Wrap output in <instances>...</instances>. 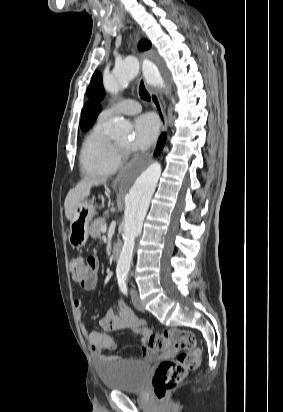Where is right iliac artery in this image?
<instances>
[{"instance_id": "obj_1", "label": "right iliac artery", "mask_w": 283, "mask_h": 412, "mask_svg": "<svg viewBox=\"0 0 283 412\" xmlns=\"http://www.w3.org/2000/svg\"><path fill=\"white\" fill-rule=\"evenodd\" d=\"M117 278H118V284H119V287H120L122 293L127 295L128 291H127L126 283L124 281V275L118 274Z\"/></svg>"}]
</instances>
